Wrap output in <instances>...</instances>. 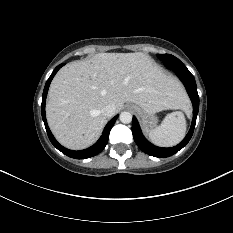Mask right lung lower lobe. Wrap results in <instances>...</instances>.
<instances>
[{
    "instance_id": "98d812e1",
    "label": "right lung lower lobe",
    "mask_w": 233,
    "mask_h": 233,
    "mask_svg": "<svg viewBox=\"0 0 233 233\" xmlns=\"http://www.w3.org/2000/svg\"><path fill=\"white\" fill-rule=\"evenodd\" d=\"M64 65H65V63H62V64L58 65L54 69V71L52 72L51 76L49 77V79L47 80V82L45 84L44 91H43V96H42V104H41L42 119L44 121L45 128H46V131H47V134H48V137H49L51 143L59 151H61L65 155H67V156H69L71 158H75V159L90 158V157H93V156L99 154L105 148V146H106V144L108 142V139H109L110 130H111L112 126L114 125L118 115L115 116L113 119H111L109 121V123L104 128V131H103L101 137L99 138V140L93 146H91V147H89L87 149H84V150H80V151H72V150L66 149L63 146H61L56 141V139L54 138V136L52 135V133H51L49 127H48V124H47V121H46V116H45V102H46V97H47V92H48V89H49V85H50L53 77L55 76L57 71Z\"/></svg>"
}]
</instances>
